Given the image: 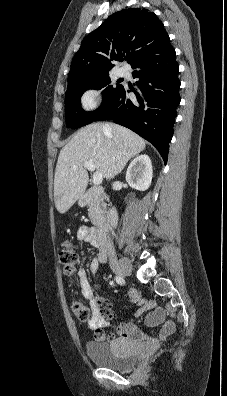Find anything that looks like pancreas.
<instances>
[{"mask_svg":"<svg viewBox=\"0 0 227 396\" xmlns=\"http://www.w3.org/2000/svg\"><path fill=\"white\" fill-rule=\"evenodd\" d=\"M88 215L91 223L95 226H99L103 220V205L99 200L92 199L88 204Z\"/></svg>","mask_w":227,"mask_h":396,"instance_id":"1","label":"pancreas"}]
</instances>
